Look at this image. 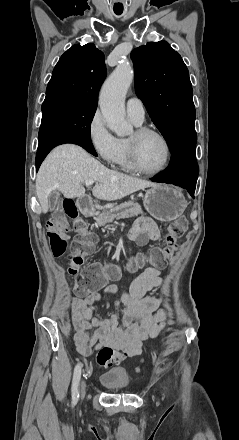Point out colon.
I'll return each instance as SVG.
<instances>
[{
	"instance_id": "obj_1",
	"label": "colon",
	"mask_w": 239,
	"mask_h": 440,
	"mask_svg": "<svg viewBox=\"0 0 239 440\" xmlns=\"http://www.w3.org/2000/svg\"><path fill=\"white\" fill-rule=\"evenodd\" d=\"M74 221V228L77 232L69 259L68 272L70 275L79 276L75 290L85 294L90 289L102 286L108 280L117 278L121 269L117 266L104 267L99 264H92L84 269L86 258L92 253L95 236L88 231L85 221L79 216L76 205L72 199H66L63 207L55 217L47 222V237L54 255H62L67 249V235L65 218ZM188 221L185 217H178L168 226L166 235V246L156 247L152 250L148 261L154 267H162L173 254L176 241L186 231ZM146 262V257L139 256L132 264L131 270L141 268ZM114 360V352L111 349L103 348L97 355V364L100 367L111 365ZM140 371V368H138Z\"/></svg>"
}]
</instances>
